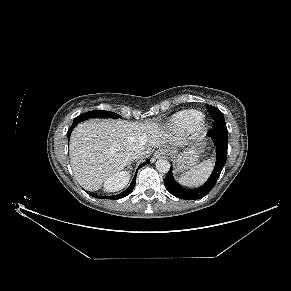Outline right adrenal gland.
Here are the masks:
<instances>
[{"instance_id":"right-adrenal-gland-1","label":"right adrenal gland","mask_w":291,"mask_h":291,"mask_svg":"<svg viewBox=\"0 0 291 291\" xmlns=\"http://www.w3.org/2000/svg\"><path fill=\"white\" fill-rule=\"evenodd\" d=\"M128 168H131V162L128 164Z\"/></svg>"}]
</instances>
